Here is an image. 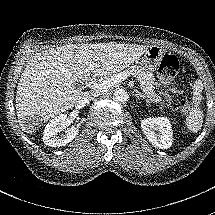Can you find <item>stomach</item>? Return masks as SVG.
Returning a JSON list of instances; mask_svg holds the SVG:
<instances>
[{"label": "stomach", "instance_id": "1", "mask_svg": "<svg viewBox=\"0 0 215 215\" xmlns=\"http://www.w3.org/2000/svg\"><path fill=\"white\" fill-rule=\"evenodd\" d=\"M164 56L165 51L162 46L150 45L145 50L141 59V63L147 69L154 71L160 66Z\"/></svg>", "mask_w": 215, "mask_h": 215}]
</instances>
